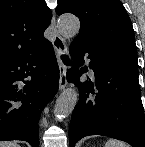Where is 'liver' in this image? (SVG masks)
<instances>
[{
	"label": "liver",
	"mask_w": 145,
	"mask_h": 147,
	"mask_svg": "<svg viewBox=\"0 0 145 147\" xmlns=\"http://www.w3.org/2000/svg\"><path fill=\"white\" fill-rule=\"evenodd\" d=\"M0 147H20L16 142H0Z\"/></svg>",
	"instance_id": "liver-1"
}]
</instances>
